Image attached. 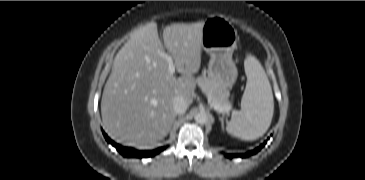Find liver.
<instances>
[{"instance_id":"obj_1","label":"liver","mask_w":365,"mask_h":180,"mask_svg":"<svg viewBox=\"0 0 365 180\" xmlns=\"http://www.w3.org/2000/svg\"><path fill=\"white\" fill-rule=\"evenodd\" d=\"M203 22L172 24L163 30L164 46L181 77L168 71L157 25L133 31L117 53L105 84L101 115L105 131L120 143L144 147L167 136L175 121L173 98L193 102L201 65Z\"/></svg>"}]
</instances>
